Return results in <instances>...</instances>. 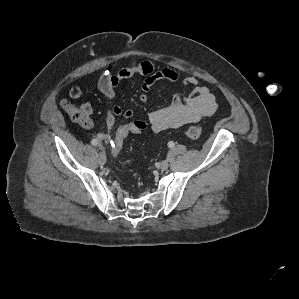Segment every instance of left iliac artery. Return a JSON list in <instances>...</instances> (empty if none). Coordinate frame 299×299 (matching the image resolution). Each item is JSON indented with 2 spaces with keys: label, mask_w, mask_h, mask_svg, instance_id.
<instances>
[{
  "label": "left iliac artery",
  "mask_w": 299,
  "mask_h": 299,
  "mask_svg": "<svg viewBox=\"0 0 299 299\" xmlns=\"http://www.w3.org/2000/svg\"><path fill=\"white\" fill-rule=\"evenodd\" d=\"M168 147H169V148L174 147V142H173V141L168 142Z\"/></svg>",
  "instance_id": "obj_1"
}]
</instances>
